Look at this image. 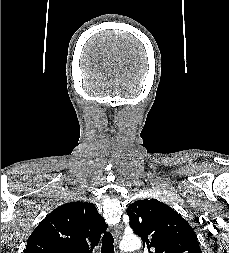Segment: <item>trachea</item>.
I'll return each instance as SVG.
<instances>
[{"label":"trachea","mask_w":229,"mask_h":253,"mask_svg":"<svg viewBox=\"0 0 229 253\" xmlns=\"http://www.w3.org/2000/svg\"><path fill=\"white\" fill-rule=\"evenodd\" d=\"M114 238L110 232H105L102 238V253H114Z\"/></svg>","instance_id":"obj_1"}]
</instances>
